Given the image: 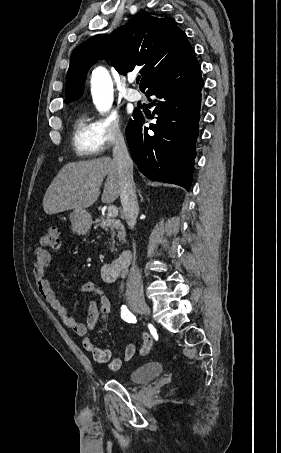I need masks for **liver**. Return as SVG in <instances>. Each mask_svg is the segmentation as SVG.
I'll use <instances>...</instances> for the list:
<instances>
[{"instance_id":"obj_1","label":"liver","mask_w":281,"mask_h":453,"mask_svg":"<svg viewBox=\"0 0 281 453\" xmlns=\"http://www.w3.org/2000/svg\"><path fill=\"white\" fill-rule=\"evenodd\" d=\"M103 202H113L120 196L118 164L111 156L94 160L68 162L49 184L43 198L47 214H56L70 208H88L96 202L105 178Z\"/></svg>"}]
</instances>
